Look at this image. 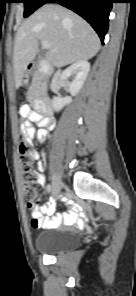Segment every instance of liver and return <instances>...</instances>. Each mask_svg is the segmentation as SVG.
Instances as JSON below:
<instances>
[{"instance_id":"obj_1","label":"liver","mask_w":136,"mask_h":296,"mask_svg":"<svg viewBox=\"0 0 136 296\" xmlns=\"http://www.w3.org/2000/svg\"><path fill=\"white\" fill-rule=\"evenodd\" d=\"M39 41H48V60L63 67L95 56L100 39L79 15L58 4H46L36 10L18 29L15 37L13 66L15 87L22 84L28 64L38 53Z\"/></svg>"}]
</instances>
